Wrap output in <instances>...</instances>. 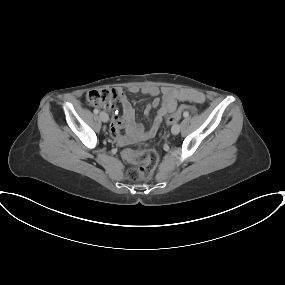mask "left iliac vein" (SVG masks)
I'll use <instances>...</instances> for the list:
<instances>
[{"instance_id": "1", "label": "left iliac vein", "mask_w": 285, "mask_h": 285, "mask_svg": "<svg viewBox=\"0 0 285 285\" xmlns=\"http://www.w3.org/2000/svg\"><path fill=\"white\" fill-rule=\"evenodd\" d=\"M171 132L174 135L178 134L180 132V125L179 124L173 125L171 128Z\"/></svg>"}]
</instances>
